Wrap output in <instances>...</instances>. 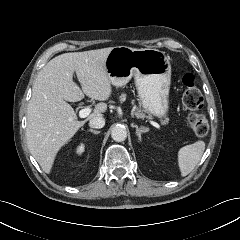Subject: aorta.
Here are the masks:
<instances>
[{
	"label": "aorta",
	"mask_w": 240,
	"mask_h": 240,
	"mask_svg": "<svg viewBox=\"0 0 240 240\" xmlns=\"http://www.w3.org/2000/svg\"><path fill=\"white\" fill-rule=\"evenodd\" d=\"M111 137L116 142H122L127 138V131L124 126L116 125L111 130Z\"/></svg>",
	"instance_id": "obj_1"
}]
</instances>
